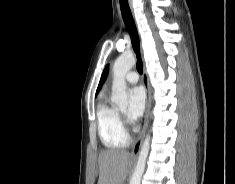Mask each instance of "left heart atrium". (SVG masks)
Returning a JSON list of instances; mask_svg holds the SVG:
<instances>
[{"label":"left heart atrium","mask_w":235,"mask_h":184,"mask_svg":"<svg viewBox=\"0 0 235 184\" xmlns=\"http://www.w3.org/2000/svg\"><path fill=\"white\" fill-rule=\"evenodd\" d=\"M146 97L144 91L135 87L130 93V106L128 115L131 121L136 122L144 113Z\"/></svg>","instance_id":"obj_1"}]
</instances>
